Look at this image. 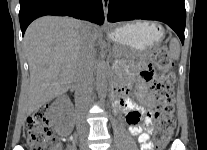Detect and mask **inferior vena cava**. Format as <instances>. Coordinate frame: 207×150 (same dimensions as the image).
I'll return each mask as SVG.
<instances>
[{
    "mask_svg": "<svg viewBox=\"0 0 207 150\" xmlns=\"http://www.w3.org/2000/svg\"><path fill=\"white\" fill-rule=\"evenodd\" d=\"M94 39L88 31V24L84 23L81 35V47L78 55L74 84L78 102L87 105L91 100L94 67Z\"/></svg>",
    "mask_w": 207,
    "mask_h": 150,
    "instance_id": "602c4592",
    "label": "inferior vena cava"
}]
</instances>
